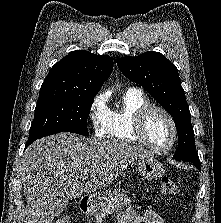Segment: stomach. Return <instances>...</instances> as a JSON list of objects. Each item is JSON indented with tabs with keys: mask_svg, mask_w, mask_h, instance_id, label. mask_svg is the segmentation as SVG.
Listing matches in <instances>:
<instances>
[{
	"mask_svg": "<svg viewBox=\"0 0 221 223\" xmlns=\"http://www.w3.org/2000/svg\"><path fill=\"white\" fill-rule=\"evenodd\" d=\"M138 171L140 175L148 181L158 180L165 172L162 164L151 156L139 159ZM110 196V191L93 195L89 202V212L91 214H95L103 206L106 199Z\"/></svg>",
	"mask_w": 221,
	"mask_h": 223,
	"instance_id": "obj_1",
	"label": "stomach"
}]
</instances>
